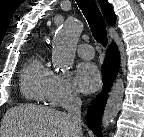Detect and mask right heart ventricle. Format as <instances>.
Here are the masks:
<instances>
[{"label": "right heart ventricle", "instance_id": "obj_1", "mask_svg": "<svg viewBox=\"0 0 144 137\" xmlns=\"http://www.w3.org/2000/svg\"><path fill=\"white\" fill-rule=\"evenodd\" d=\"M55 74L46 66L41 55H33L20 76L22 95L36 103H47Z\"/></svg>", "mask_w": 144, "mask_h": 137}]
</instances>
